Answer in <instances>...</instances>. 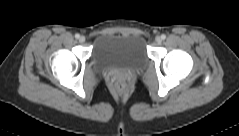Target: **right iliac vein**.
Here are the masks:
<instances>
[{
    "mask_svg": "<svg viewBox=\"0 0 239 136\" xmlns=\"http://www.w3.org/2000/svg\"><path fill=\"white\" fill-rule=\"evenodd\" d=\"M85 40H86V38L84 36L79 37V42L80 43H84Z\"/></svg>",
    "mask_w": 239,
    "mask_h": 136,
    "instance_id": "1",
    "label": "right iliac vein"
}]
</instances>
